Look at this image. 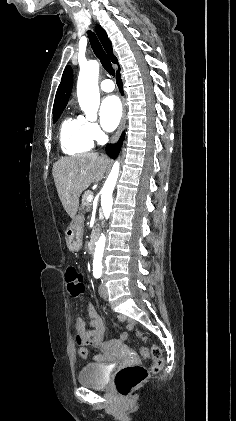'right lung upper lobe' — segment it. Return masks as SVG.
<instances>
[{"label":"right lung upper lobe","mask_w":236,"mask_h":421,"mask_svg":"<svg viewBox=\"0 0 236 421\" xmlns=\"http://www.w3.org/2000/svg\"><path fill=\"white\" fill-rule=\"evenodd\" d=\"M95 31H96L104 49H105V51L107 52L110 60L113 63L118 64L117 58L113 54L111 41L108 39V36H107L105 30L100 25H97L95 27ZM72 85H73L72 69H71L70 66H67L65 68L64 72H63L61 83H60V85L58 87V90H57V93H56L53 111L58 110V109H63V108L66 107L69 96H70V93H71V90H72Z\"/></svg>","instance_id":"right-lung-upper-lobe-1"}]
</instances>
